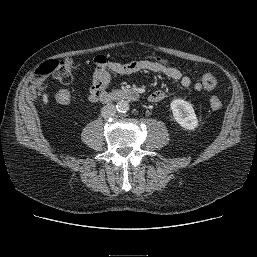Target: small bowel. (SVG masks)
Wrapping results in <instances>:
<instances>
[{
	"label": "small bowel",
	"instance_id": "1",
	"mask_svg": "<svg viewBox=\"0 0 257 257\" xmlns=\"http://www.w3.org/2000/svg\"><path fill=\"white\" fill-rule=\"evenodd\" d=\"M96 70L92 76L93 84L89 90L91 100H97L110 82V71L119 75H131L137 72H153L165 75L171 81L178 83L183 88H191L200 91L203 88L201 82H193L190 77L183 75L182 72L169 65L160 64L151 60H137L129 63L109 62L106 57L98 56L95 58ZM166 93L156 90L149 95V101L158 103L165 99Z\"/></svg>",
	"mask_w": 257,
	"mask_h": 257
}]
</instances>
